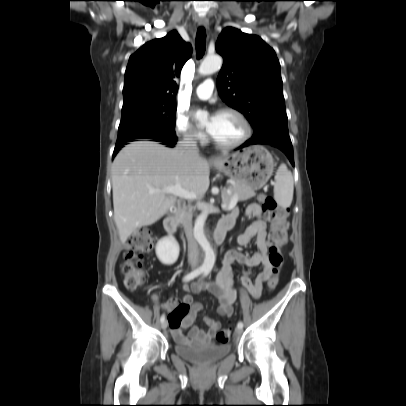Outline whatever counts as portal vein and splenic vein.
<instances>
[{
    "mask_svg": "<svg viewBox=\"0 0 406 406\" xmlns=\"http://www.w3.org/2000/svg\"><path fill=\"white\" fill-rule=\"evenodd\" d=\"M158 192L173 194V195L179 196L181 198L190 199V200H195L198 198L197 194L183 190L179 185L165 187L162 190H151L150 191L151 194L158 193ZM237 202H238V199H237V196L235 195L232 198L230 204L228 206L223 204L222 208L230 211L236 206Z\"/></svg>",
    "mask_w": 406,
    "mask_h": 406,
    "instance_id": "18ae733b",
    "label": "portal vein and splenic vein"
}]
</instances>
